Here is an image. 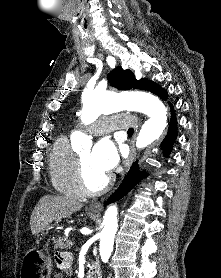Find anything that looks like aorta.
Masks as SVG:
<instances>
[{"label":"aorta","mask_w":221,"mask_h":278,"mask_svg":"<svg viewBox=\"0 0 221 278\" xmlns=\"http://www.w3.org/2000/svg\"><path fill=\"white\" fill-rule=\"evenodd\" d=\"M83 108L81 121L88 125L101 114L119 110H135L146 114L149 119L143 124L137 139V148H144L160 137L167 125V110L163 103L148 93H135L127 98H118L109 92L92 90L82 97ZM87 137L80 131L72 134V142L84 144ZM118 209L110 205L104 216V228L100 234L99 253L103 262H108L114 246V238L118 229Z\"/></svg>","instance_id":"obj_1"}]
</instances>
